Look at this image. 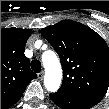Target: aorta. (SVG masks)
<instances>
[{"label":"aorta","mask_w":109,"mask_h":109,"mask_svg":"<svg viewBox=\"0 0 109 109\" xmlns=\"http://www.w3.org/2000/svg\"><path fill=\"white\" fill-rule=\"evenodd\" d=\"M45 68L44 86L49 92H56L62 81V67L60 61L52 50H47L42 55Z\"/></svg>","instance_id":"762f6f07"}]
</instances>
